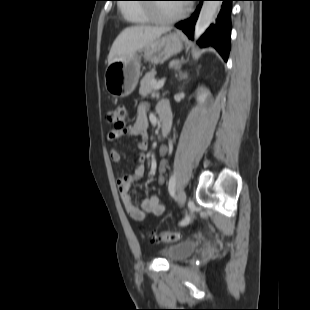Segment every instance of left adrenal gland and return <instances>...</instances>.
Here are the masks:
<instances>
[{"label": "left adrenal gland", "mask_w": 310, "mask_h": 310, "mask_svg": "<svg viewBox=\"0 0 310 310\" xmlns=\"http://www.w3.org/2000/svg\"><path fill=\"white\" fill-rule=\"evenodd\" d=\"M187 77V73L183 74L180 72V80L185 79Z\"/></svg>", "instance_id": "1"}]
</instances>
